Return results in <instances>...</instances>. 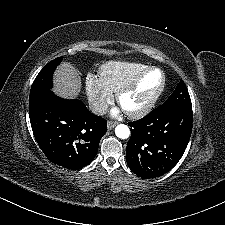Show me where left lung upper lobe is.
I'll use <instances>...</instances> for the list:
<instances>
[{
  "label": "left lung upper lobe",
  "instance_id": "5c2ea615",
  "mask_svg": "<svg viewBox=\"0 0 225 225\" xmlns=\"http://www.w3.org/2000/svg\"><path fill=\"white\" fill-rule=\"evenodd\" d=\"M180 105H186V106L192 105L187 87L182 79L178 83L175 91L169 96L166 102L161 106L170 107V106H180Z\"/></svg>",
  "mask_w": 225,
  "mask_h": 225
}]
</instances>
